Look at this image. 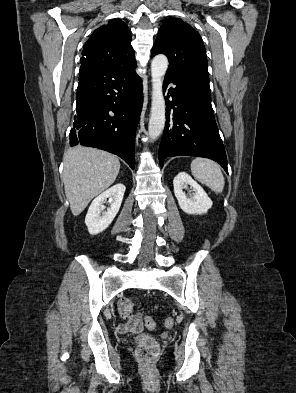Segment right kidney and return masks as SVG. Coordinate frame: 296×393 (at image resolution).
Segmentation results:
<instances>
[{"label":"right kidney","mask_w":296,"mask_h":393,"mask_svg":"<svg viewBox=\"0 0 296 393\" xmlns=\"http://www.w3.org/2000/svg\"><path fill=\"white\" fill-rule=\"evenodd\" d=\"M125 189L123 184L118 183L92 201L85 218V224L91 235L103 232L112 223L120 209ZM107 199L110 200L111 204L110 208L104 212L105 206L103 203ZM101 213H103L102 216Z\"/></svg>","instance_id":"right-kidney-1"}]
</instances>
